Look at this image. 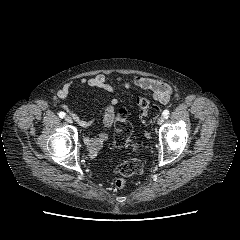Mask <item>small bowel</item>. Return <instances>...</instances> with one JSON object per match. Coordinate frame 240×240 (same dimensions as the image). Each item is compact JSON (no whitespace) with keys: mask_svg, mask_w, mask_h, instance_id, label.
<instances>
[{"mask_svg":"<svg viewBox=\"0 0 240 240\" xmlns=\"http://www.w3.org/2000/svg\"><path fill=\"white\" fill-rule=\"evenodd\" d=\"M116 81L118 85L123 89L132 90L134 88H138L145 92L151 93L153 98L162 104H167L172 95V88L169 85L148 77L136 76L133 80L130 81L122 76H118L116 78ZM80 84L98 88L109 93H114V87L104 74H98L89 78H82L80 80ZM71 87V82L65 83L63 87L57 91L58 98H67L71 91ZM117 102V99L115 97H112L104 109L103 131L97 136L86 137L84 139V143L90 152L95 153L100 150L104 142L108 139L107 131L115 120V106L117 105ZM62 107L69 110L68 106L65 104H63ZM72 116L83 128H88L94 123V118L90 120H80L76 114L72 113Z\"/></svg>","mask_w":240,"mask_h":240,"instance_id":"obj_1","label":"small bowel"}]
</instances>
